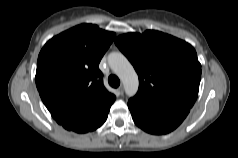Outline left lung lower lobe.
<instances>
[{
    "label": "left lung lower lobe",
    "instance_id": "left-lung-lower-lobe-1",
    "mask_svg": "<svg viewBox=\"0 0 238 158\" xmlns=\"http://www.w3.org/2000/svg\"><path fill=\"white\" fill-rule=\"evenodd\" d=\"M135 124L151 134H166L178 127L191 107L177 106L163 109H148L133 100L128 101Z\"/></svg>",
    "mask_w": 238,
    "mask_h": 158
}]
</instances>
